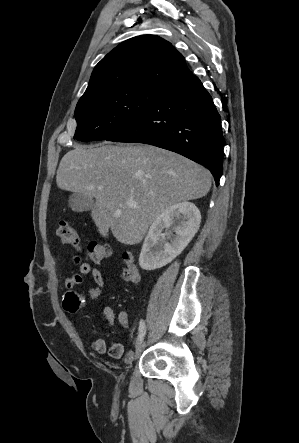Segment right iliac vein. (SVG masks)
I'll return each instance as SVG.
<instances>
[{
    "mask_svg": "<svg viewBox=\"0 0 299 443\" xmlns=\"http://www.w3.org/2000/svg\"><path fill=\"white\" fill-rule=\"evenodd\" d=\"M145 346H146L145 341H142L141 343H139L137 345L136 350H135L134 359H137L140 356V354L143 352Z\"/></svg>",
    "mask_w": 299,
    "mask_h": 443,
    "instance_id": "right-iliac-vein-1",
    "label": "right iliac vein"
}]
</instances>
